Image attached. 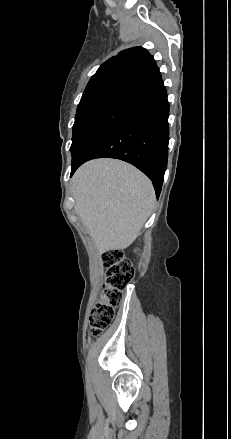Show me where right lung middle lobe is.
Here are the masks:
<instances>
[{
  "mask_svg": "<svg viewBox=\"0 0 231 439\" xmlns=\"http://www.w3.org/2000/svg\"><path fill=\"white\" fill-rule=\"evenodd\" d=\"M141 113L135 95L116 94L88 101L77 108L71 145L72 162L113 125Z\"/></svg>",
  "mask_w": 231,
  "mask_h": 439,
  "instance_id": "dd1d6c3e",
  "label": "right lung middle lobe"
}]
</instances>
